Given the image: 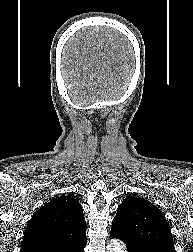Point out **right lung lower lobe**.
Returning <instances> with one entry per match:
<instances>
[{
    "instance_id": "right-lung-lower-lobe-1",
    "label": "right lung lower lobe",
    "mask_w": 193,
    "mask_h": 252,
    "mask_svg": "<svg viewBox=\"0 0 193 252\" xmlns=\"http://www.w3.org/2000/svg\"><path fill=\"white\" fill-rule=\"evenodd\" d=\"M86 243L87 242H85L84 244H81V245L77 246L75 249H72L69 252H84V248L86 246Z\"/></svg>"
}]
</instances>
